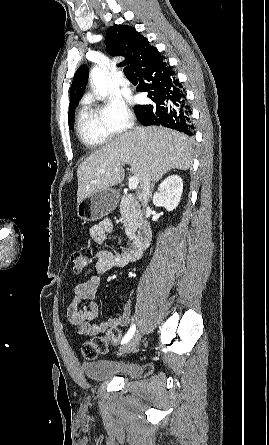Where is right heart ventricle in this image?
I'll use <instances>...</instances> for the list:
<instances>
[{"label": "right heart ventricle", "mask_w": 269, "mask_h": 445, "mask_svg": "<svg viewBox=\"0 0 269 445\" xmlns=\"http://www.w3.org/2000/svg\"><path fill=\"white\" fill-rule=\"evenodd\" d=\"M76 130L80 141L89 148H95L105 144L111 134L99 121L96 113L83 104L77 114Z\"/></svg>", "instance_id": "e07e8e85"}]
</instances>
